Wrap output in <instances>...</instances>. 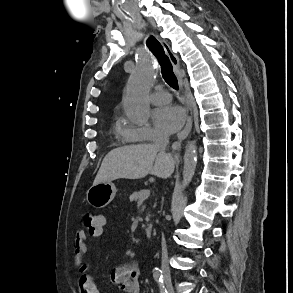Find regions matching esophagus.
Instances as JSON below:
<instances>
[{"label": "esophagus", "mask_w": 293, "mask_h": 293, "mask_svg": "<svg viewBox=\"0 0 293 293\" xmlns=\"http://www.w3.org/2000/svg\"><path fill=\"white\" fill-rule=\"evenodd\" d=\"M159 41L161 42L167 56L169 57L170 62L172 63L174 70L178 74L179 85H180V88L183 89V77L180 73V63H179L178 57L172 52V50L167 42H165L161 39H159ZM186 110H187V114H188L187 123H186L184 129L180 133H178L177 137H178L179 141L184 140L192 128V110H191V105L188 100H186Z\"/></svg>", "instance_id": "esophagus-1"}]
</instances>
